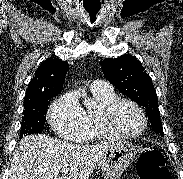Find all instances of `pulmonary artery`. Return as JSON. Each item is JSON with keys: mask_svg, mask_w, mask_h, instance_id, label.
Returning a JSON list of instances; mask_svg holds the SVG:
<instances>
[{"mask_svg": "<svg viewBox=\"0 0 183 179\" xmlns=\"http://www.w3.org/2000/svg\"><path fill=\"white\" fill-rule=\"evenodd\" d=\"M111 89H112L111 85L103 80H94L91 84L92 91H106Z\"/></svg>", "mask_w": 183, "mask_h": 179, "instance_id": "pulmonary-artery-1", "label": "pulmonary artery"}]
</instances>
